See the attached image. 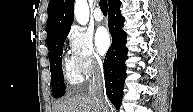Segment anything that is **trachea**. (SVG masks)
I'll list each match as a JSON object with an SVG mask.
<instances>
[{
    "instance_id": "3493384b",
    "label": "trachea",
    "mask_w": 193,
    "mask_h": 112,
    "mask_svg": "<svg viewBox=\"0 0 193 112\" xmlns=\"http://www.w3.org/2000/svg\"><path fill=\"white\" fill-rule=\"evenodd\" d=\"M100 8L102 10V12L105 14L108 11V5H107V1L106 0H101L100 1Z\"/></svg>"
}]
</instances>
